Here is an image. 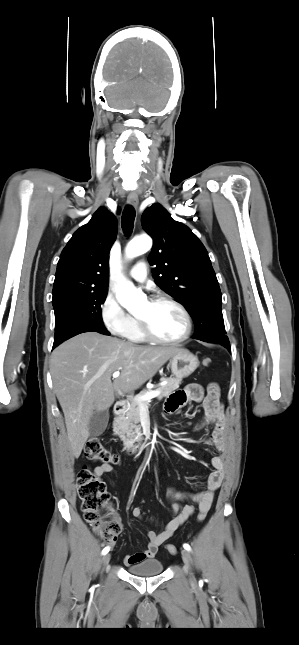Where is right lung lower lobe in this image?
<instances>
[{
	"mask_svg": "<svg viewBox=\"0 0 299 645\" xmlns=\"http://www.w3.org/2000/svg\"><path fill=\"white\" fill-rule=\"evenodd\" d=\"M84 332H99V333H101V334L109 335V333H108V331H107V330H106V331H102V330H96V329H91V328H85V329H81V330H78V331H76V332L72 333L71 335L67 336L63 341H65V340H67V339H69V338H71V337H73V336H75V335H78V334H80V333H84ZM63 341H61V342H63ZM61 342L54 343V344H53V349H54L57 345H59Z\"/></svg>",
	"mask_w": 299,
	"mask_h": 645,
	"instance_id": "obj_1",
	"label": "right lung lower lobe"
}]
</instances>
